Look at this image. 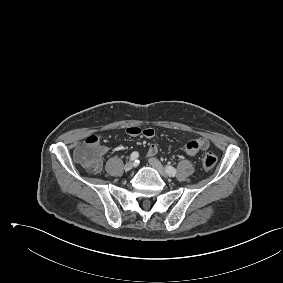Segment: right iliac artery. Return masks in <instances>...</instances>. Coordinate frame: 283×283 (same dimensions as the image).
Wrapping results in <instances>:
<instances>
[{
    "label": "right iliac artery",
    "instance_id": "obj_1",
    "mask_svg": "<svg viewBox=\"0 0 283 283\" xmlns=\"http://www.w3.org/2000/svg\"><path fill=\"white\" fill-rule=\"evenodd\" d=\"M138 157H139V153L137 151H134L130 155V160L131 161H136Z\"/></svg>",
    "mask_w": 283,
    "mask_h": 283
}]
</instances>
